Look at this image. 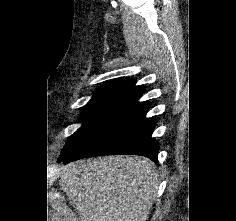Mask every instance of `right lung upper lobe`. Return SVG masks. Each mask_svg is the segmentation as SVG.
Returning <instances> with one entry per match:
<instances>
[{
    "label": "right lung upper lobe",
    "mask_w": 236,
    "mask_h": 221,
    "mask_svg": "<svg viewBox=\"0 0 236 221\" xmlns=\"http://www.w3.org/2000/svg\"><path fill=\"white\" fill-rule=\"evenodd\" d=\"M144 89L142 86H135V80H116L101 86L96 92L97 94H115V93H130L139 95L143 93Z\"/></svg>",
    "instance_id": "obj_1"
}]
</instances>
